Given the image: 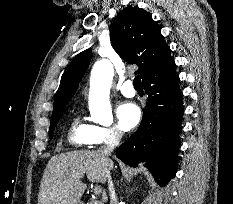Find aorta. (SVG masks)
Here are the masks:
<instances>
[{
    "label": "aorta",
    "mask_w": 233,
    "mask_h": 204,
    "mask_svg": "<svg viewBox=\"0 0 233 204\" xmlns=\"http://www.w3.org/2000/svg\"><path fill=\"white\" fill-rule=\"evenodd\" d=\"M113 75V66L107 59L97 61L91 71L89 111L91 121L101 125H110L113 122L109 96Z\"/></svg>",
    "instance_id": "1"
}]
</instances>
